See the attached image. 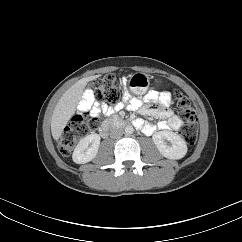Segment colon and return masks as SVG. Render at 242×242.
Returning a JSON list of instances; mask_svg holds the SVG:
<instances>
[{
	"mask_svg": "<svg viewBox=\"0 0 242 242\" xmlns=\"http://www.w3.org/2000/svg\"><path fill=\"white\" fill-rule=\"evenodd\" d=\"M92 95L95 104H114L121 96L120 85L113 75H106L97 80ZM172 97L180 116L185 120L181 135L187 144L193 145L198 134L196 111L180 90H175ZM95 116L91 111L86 110L82 114L73 117L58 141V148L62 155H69L77 140L86 136L90 130L95 128Z\"/></svg>",
	"mask_w": 242,
	"mask_h": 242,
	"instance_id": "obj_1",
	"label": "colon"
}]
</instances>
